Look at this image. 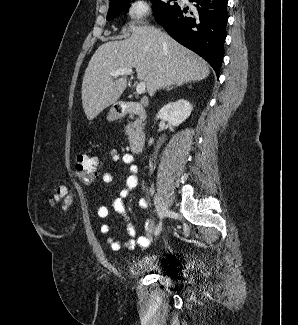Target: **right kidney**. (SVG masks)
<instances>
[{
  "mask_svg": "<svg viewBox=\"0 0 298 325\" xmlns=\"http://www.w3.org/2000/svg\"><path fill=\"white\" fill-rule=\"evenodd\" d=\"M193 110L192 104L186 98H179L175 102H168L164 104L156 114V120H168L172 126H179L181 122H184ZM154 138H149V144H153Z\"/></svg>",
  "mask_w": 298,
  "mask_h": 325,
  "instance_id": "obj_1",
  "label": "right kidney"
}]
</instances>
